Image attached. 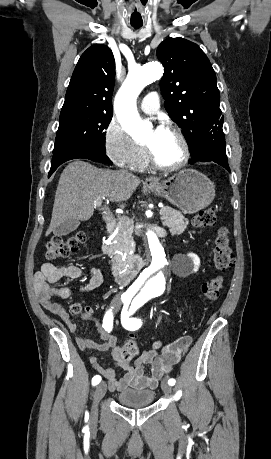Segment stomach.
I'll return each mask as SVG.
<instances>
[{
  "mask_svg": "<svg viewBox=\"0 0 271 459\" xmlns=\"http://www.w3.org/2000/svg\"><path fill=\"white\" fill-rule=\"evenodd\" d=\"M146 190L166 198L184 214H196L210 206L215 198V186L197 170H181L160 186H145Z\"/></svg>",
  "mask_w": 271,
  "mask_h": 459,
  "instance_id": "stomach-1",
  "label": "stomach"
}]
</instances>
